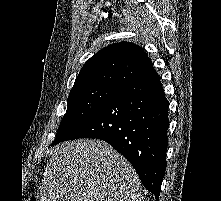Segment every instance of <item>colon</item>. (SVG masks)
<instances>
[{
  "instance_id": "5ec220e1",
  "label": "colon",
  "mask_w": 221,
  "mask_h": 201,
  "mask_svg": "<svg viewBox=\"0 0 221 201\" xmlns=\"http://www.w3.org/2000/svg\"><path fill=\"white\" fill-rule=\"evenodd\" d=\"M27 201H37L35 198H30L29 200Z\"/></svg>"
}]
</instances>
